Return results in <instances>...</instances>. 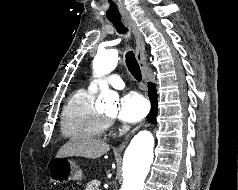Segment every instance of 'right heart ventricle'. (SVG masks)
Returning a JSON list of instances; mask_svg holds the SVG:
<instances>
[{
  "mask_svg": "<svg viewBox=\"0 0 238 190\" xmlns=\"http://www.w3.org/2000/svg\"><path fill=\"white\" fill-rule=\"evenodd\" d=\"M95 90L81 88L68 99L61 115V131L71 138H98L108 123L94 106Z\"/></svg>",
  "mask_w": 238,
  "mask_h": 190,
  "instance_id": "right-heart-ventricle-1",
  "label": "right heart ventricle"
}]
</instances>
